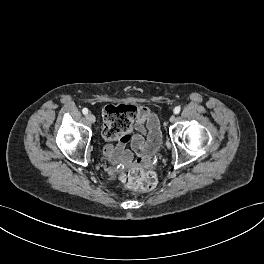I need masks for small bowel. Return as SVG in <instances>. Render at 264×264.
Returning <instances> with one entry per match:
<instances>
[{
  "instance_id": "obj_1",
  "label": "small bowel",
  "mask_w": 264,
  "mask_h": 264,
  "mask_svg": "<svg viewBox=\"0 0 264 264\" xmlns=\"http://www.w3.org/2000/svg\"><path fill=\"white\" fill-rule=\"evenodd\" d=\"M106 121L104 120V125ZM136 130L135 134H124L115 139L114 144H108L105 148V155L108 156L114 164L122 163L123 166L132 164L133 155L127 149L130 144L132 150L140 157L145 158L153 154L161 141V132L158 117L148 107H136V115L133 122ZM114 169H112L113 171Z\"/></svg>"
}]
</instances>
